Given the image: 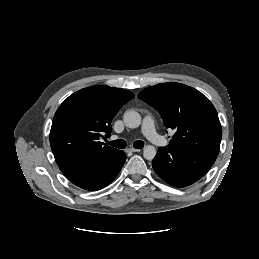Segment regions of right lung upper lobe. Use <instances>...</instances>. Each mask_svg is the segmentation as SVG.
I'll list each match as a JSON object with an SVG mask.
<instances>
[{
  "mask_svg": "<svg viewBox=\"0 0 259 259\" xmlns=\"http://www.w3.org/2000/svg\"><path fill=\"white\" fill-rule=\"evenodd\" d=\"M132 98L134 94L124 89L93 86L65 99L50 131V145L59 168L81 166L117 151L100 139L110 136L113 117Z\"/></svg>",
  "mask_w": 259,
  "mask_h": 259,
  "instance_id": "1",
  "label": "right lung upper lobe"
}]
</instances>
